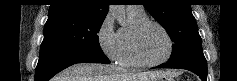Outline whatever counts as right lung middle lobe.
<instances>
[{
    "label": "right lung middle lobe",
    "mask_w": 237,
    "mask_h": 81,
    "mask_svg": "<svg viewBox=\"0 0 237 81\" xmlns=\"http://www.w3.org/2000/svg\"><path fill=\"white\" fill-rule=\"evenodd\" d=\"M104 18L60 16L48 19L40 50L103 53L97 33Z\"/></svg>",
    "instance_id": "obj_1"
}]
</instances>
